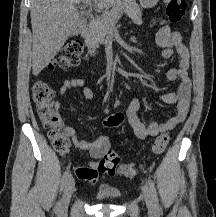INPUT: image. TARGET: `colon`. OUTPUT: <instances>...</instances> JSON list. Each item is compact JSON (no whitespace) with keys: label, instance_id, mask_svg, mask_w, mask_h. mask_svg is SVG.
<instances>
[{"label":"colon","instance_id":"5ec220e1","mask_svg":"<svg viewBox=\"0 0 216 217\" xmlns=\"http://www.w3.org/2000/svg\"><path fill=\"white\" fill-rule=\"evenodd\" d=\"M166 14L172 22H179L186 12L185 0H164ZM83 46L79 41L68 42L58 53L53 61V66L63 68L76 67L79 64ZM54 91L44 80H37L32 87V98L37 108V113L45 128L49 130V138L57 152L65 153L69 148V141L61 130V119L53 106ZM124 121L122 113H114L107 117L105 126L113 128L121 125ZM169 143L167 133L160 134L153 144V152L162 154ZM142 168L135 164H120L117 153L108 150L100 158L98 171L109 175L120 174L131 178L138 175Z\"/></svg>","mask_w":216,"mask_h":217}]
</instances>
